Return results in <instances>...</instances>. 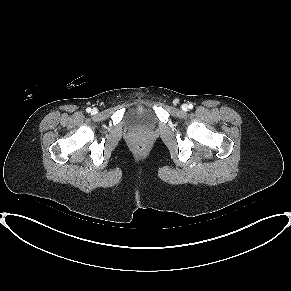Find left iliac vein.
<instances>
[{
    "label": "left iliac vein",
    "mask_w": 291,
    "mask_h": 291,
    "mask_svg": "<svg viewBox=\"0 0 291 291\" xmlns=\"http://www.w3.org/2000/svg\"><path fill=\"white\" fill-rule=\"evenodd\" d=\"M187 108H188L187 105H183V106H182V109H183L184 111L187 110Z\"/></svg>",
    "instance_id": "obj_1"
}]
</instances>
